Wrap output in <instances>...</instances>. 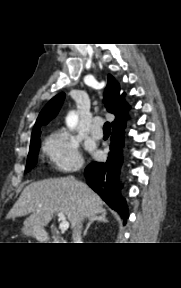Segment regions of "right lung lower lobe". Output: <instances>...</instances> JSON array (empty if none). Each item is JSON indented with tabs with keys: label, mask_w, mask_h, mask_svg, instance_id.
<instances>
[{
	"label": "right lung lower lobe",
	"mask_w": 181,
	"mask_h": 288,
	"mask_svg": "<svg viewBox=\"0 0 181 288\" xmlns=\"http://www.w3.org/2000/svg\"><path fill=\"white\" fill-rule=\"evenodd\" d=\"M124 126L112 127L109 158L105 163L93 162L85 169L87 184L126 221L129 217L127 202L121 195L120 168L123 163L119 146L124 141Z\"/></svg>",
	"instance_id": "right-lung-lower-lobe-1"
}]
</instances>
